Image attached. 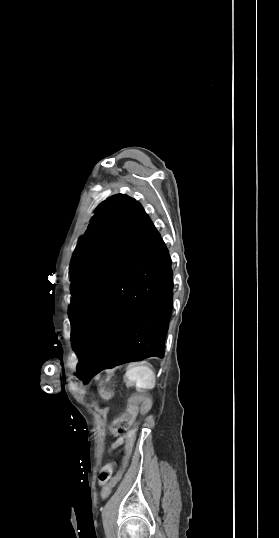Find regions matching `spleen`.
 <instances>
[{"label":"spleen","mask_w":279,"mask_h":538,"mask_svg":"<svg viewBox=\"0 0 279 538\" xmlns=\"http://www.w3.org/2000/svg\"><path fill=\"white\" fill-rule=\"evenodd\" d=\"M127 375L129 381L135 380V386L141 388L136 389V392L151 393V388L155 386V374L147 366H134V368H130Z\"/></svg>","instance_id":"spleen-1"}]
</instances>
